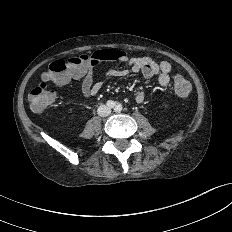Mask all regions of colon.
I'll return each mask as SVG.
<instances>
[{
  "label": "colon",
  "instance_id": "colon-1",
  "mask_svg": "<svg viewBox=\"0 0 232 232\" xmlns=\"http://www.w3.org/2000/svg\"><path fill=\"white\" fill-rule=\"evenodd\" d=\"M110 58L109 52L100 50L92 54L53 61L49 65L48 71L44 73L42 82L34 87L29 94L31 109L35 112H41L55 101V92L49 89L47 81L57 82L71 73H81ZM190 89L189 82L182 75L175 76L174 90L178 96L186 97L190 93Z\"/></svg>",
  "mask_w": 232,
  "mask_h": 232
}]
</instances>
